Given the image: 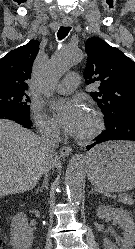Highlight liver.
<instances>
[{"mask_svg": "<svg viewBox=\"0 0 135 249\" xmlns=\"http://www.w3.org/2000/svg\"><path fill=\"white\" fill-rule=\"evenodd\" d=\"M59 164L40 137L21 125L0 119V197L36 186L49 163Z\"/></svg>", "mask_w": 135, "mask_h": 249, "instance_id": "1", "label": "liver"}]
</instances>
